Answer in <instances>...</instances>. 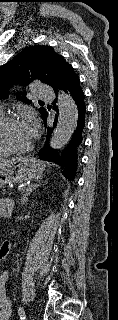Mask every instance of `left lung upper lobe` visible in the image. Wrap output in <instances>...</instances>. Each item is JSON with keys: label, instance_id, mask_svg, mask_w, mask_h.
<instances>
[{"label": "left lung upper lobe", "instance_id": "1", "mask_svg": "<svg viewBox=\"0 0 118 320\" xmlns=\"http://www.w3.org/2000/svg\"><path fill=\"white\" fill-rule=\"evenodd\" d=\"M72 66L50 46H32L23 49L13 60L0 67V99L15 84L27 85L34 80L48 84L56 90L72 71ZM30 104L25 97L19 98ZM44 116V108L38 109Z\"/></svg>", "mask_w": 118, "mask_h": 320}]
</instances>
